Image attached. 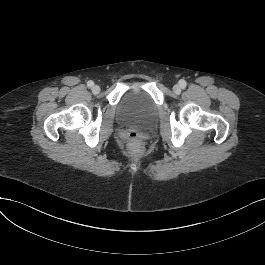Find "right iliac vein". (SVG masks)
<instances>
[{
	"label": "right iliac vein",
	"instance_id": "63e3f726",
	"mask_svg": "<svg viewBox=\"0 0 265 265\" xmlns=\"http://www.w3.org/2000/svg\"><path fill=\"white\" fill-rule=\"evenodd\" d=\"M92 92L94 94H98L100 92V87L98 85H95L92 87Z\"/></svg>",
	"mask_w": 265,
	"mask_h": 265
}]
</instances>
